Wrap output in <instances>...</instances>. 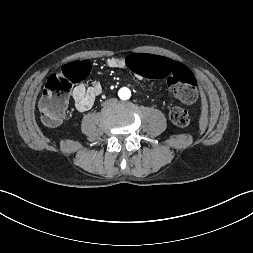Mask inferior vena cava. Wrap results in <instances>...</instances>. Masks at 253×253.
I'll list each match as a JSON object with an SVG mask.
<instances>
[{
    "instance_id": "602c4592",
    "label": "inferior vena cava",
    "mask_w": 253,
    "mask_h": 253,
    "mask_svg": "<svg viewBox=\"0 0 253 253\" xmlns=\"http://www.w3.org/2000/svg\"><path fill=\"white\" fill-rule=\"evenodd\" d=\"M116 102H117V99L115 97H112V98L103 99L101 100L100 103L103 107H106L107 105L108 106H111L112 104L114 105L116 104Z\"/></svg>"
}]
</instances>
